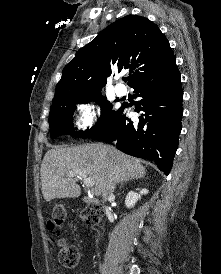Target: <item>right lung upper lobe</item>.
Listing matches in <instances>:
<instances>
[{
  "instance_id": "1",
  "label": "right lung upper lobe",
  "mask_w": 221,
  "mask_h": 274,
  "mask_svg": "<svg viewBox=\"0 0 221 274\" xmlns=\"http://www.w3.org/2000/svg\"><path fill=\"white\" fill-rule=\"evenodd\" d=\"M175 58L167 38L149 19L127 15L77 51L64 67L53 102L64 97L101 94L107 77L129 71L128 85L166 66Z\"/></svg>"
}]
</instances>
